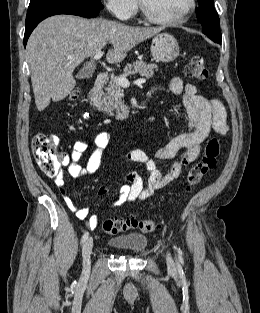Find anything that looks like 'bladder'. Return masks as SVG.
Instances as JSON below:
<instances>
[{
  "label": "bladder",
  "instance_id": "31cf9c89",
  "mask_svg": "<svg viewBox=\"0 0 260 313\" xmlns=\"http://www.w3.org/2000/svg\"><path fill=\"white\" fill-rule=\"evenodd\" d=\"M147 242L148 239L144 235L127 234L109 239L108 245L115 249L139 253L146 247Z\"/></svg>",
  "mask_w": 260,
  "mask_h": 313
}]
</instances>
